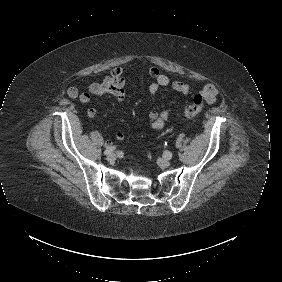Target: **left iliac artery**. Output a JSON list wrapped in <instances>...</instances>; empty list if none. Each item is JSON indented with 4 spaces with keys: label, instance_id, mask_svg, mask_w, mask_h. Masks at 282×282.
Listing matches in <instances>:
<instances>
[{
    "label": "left iliac artery",
    "instance_id": "obj_1",
    "mask_svg": "<svg viewBox=\"0 0 282 282\" xmlns=\"http://www.w3.org/2000/svg\"><path fill=\"white\" fill-rule=\"evenodd\" d=\"M164 156H165L166 158H168V159H171L172 153L169 152V151H166V152L164 153Z\"/></svg>",
    "mask_w": 282,
    "mask_h": 282
}]
</instances>
